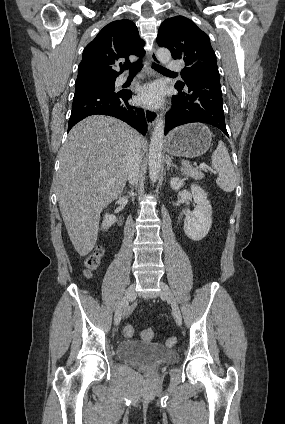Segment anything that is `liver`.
<instances>
[{
	"label": "liver",
	"instance_id": "liver-1",
	"mask_svg": "<svg viewBox=\"0 0 285 424\" xmlns=\"http://www.w3.org/2000/svg\"><path fill=\"white\" fill-rule=\"evenodd\" d=\"M136 143L141 148L145 140L123 121L92 115L71 129L60 150L57 199L80 256L96 244L101 211L123 192Z\"/></svg>",
	"mask_w": 285,
	"mask_h": 424
}]
</instances>
